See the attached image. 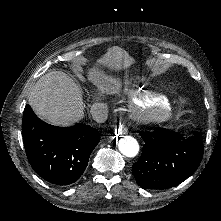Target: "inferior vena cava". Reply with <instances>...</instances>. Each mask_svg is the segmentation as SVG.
Listing matches in <instances>:
<instances>
[{
  "label": "inferior vena cava",
  "instance_id": "1",
  "mask_svg": "<svg viewBox=\"0 0 221 221\" xmlns=\"http://www.w3.org/2000/svg\"><path fill=\"white\" fill-rule=\"evenodd\" d=\"M94 106L96 107L95 115H96L97 122L98 123L105 122L108 117L107 106L102 103H95Z\"/></svg>",
  "mask_w": 221,
  "mask_h": 221
}]
</instances>
